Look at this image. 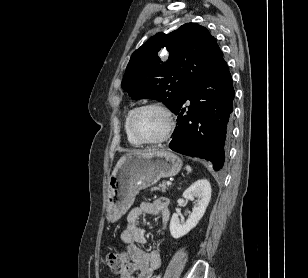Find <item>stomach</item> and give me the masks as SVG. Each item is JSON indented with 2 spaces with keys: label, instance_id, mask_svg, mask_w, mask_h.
I'll return each mask as SVG.
<instances>
[{
  "label": "stomach",
  "instance_id": "obj_1",
  "mask_svg": "<svg viewBox=\"0 0 308 278\" xmlns=\"http://www.w3.org/2000/svg\"><path fill=\"white\" fill-rule=\"evenodd\" d=\"M181 167V159L166 150H147L122 156L108 181L107 221L120 219L140 190L156 184L161 178L175 176Z\"/></svg>",
  "mask_w": 308,
  "mask_h": 278
}]
</instances>
